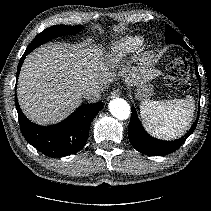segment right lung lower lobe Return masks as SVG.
I'll use <instances>...</instances> for the list:
<instances>
[{"instance_id":"obj_1","label":"right lung lower lobe","mask_w":211,"mask_h":211,"mask_svg":"<svg viewBox=\"0 0 211 211\" xmlns=\"http://www.w3.org/2000/svg\"><path fill=\"white\" fill-rule=\"evenodd\" d=\"M28 54L25 51L19 61L17 79L22 63ZM15 105L24 138L49 157L67 156L81 150L88 139L92 120L103 108L102 102L81 105L62 122L46 127L34 124L26 118L16 96Z\"/></svg>"}]
</instances>
